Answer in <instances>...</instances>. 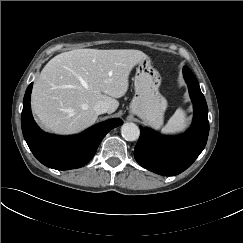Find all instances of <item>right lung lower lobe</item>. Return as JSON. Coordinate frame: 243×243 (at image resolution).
I'll list each match as a JSON object with an SVG mask.
<instances>
[{"mask_svg":"<svg viewBox=\"0 0 243 243\" xmlns=\"http://www.w3.org/2000/svg\"><path fill=\"white\" fill-rule=\"evenodd\" d=\"M31 90L32 83L28 86L23 100L22 132L34 156L47 167L68 170L84 166L95 155L104 136L123 123L120 119L108 120L76 136L62 137L44 133L32 117Z\"/></svg>","mask_w":243,"mask_h":243,"instance_id":"98d812e1","label":"right lung lower lobe"}]
</instances>
